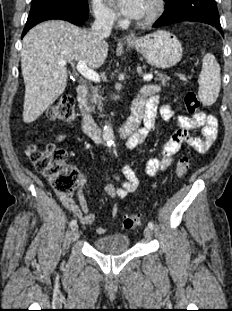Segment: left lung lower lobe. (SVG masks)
Segmentation results:
<instances>
[{"label":"left lung lower lobe","instance_id":"1","mask_svg":"<svg viewBox=\"0 0 232 311\" xmlns=\"http://www.w3.org/2000/svg\"><path fill=\"white\" fill-rule=\"evenodd\" d=\"M166 9L154 23V27L193 21L202 22L217 28L223 35L219 14L214 0H164Z\"/></svg>","mask_w":232,"mask_h":311}]
</instances>
